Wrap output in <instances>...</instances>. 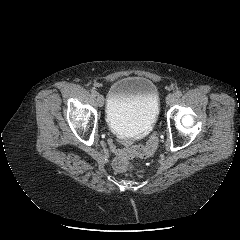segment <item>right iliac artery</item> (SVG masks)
<instances>
[{"mask_svg":"<svg viewBox=\"0 0 240 240\" xmlns=\"http://www.w3.org/2000/svg\"><path fill=\"white\" fill-rule=\"evenodd\" d=\"M91 93H92L93 96H97V94H98L95 89H93V90L91 91Z\"/></svg>","mask_w":240,"mask_h":240,"instance_id":"82829eb1","label":"right iliac artery"}]
</instances>
